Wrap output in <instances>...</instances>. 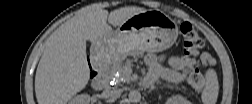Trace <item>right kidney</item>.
Instances as JSON below:
<instances>
[{"mask_svg": "<svg viewBox=\"0 0 252 104\" xmlns=\"http://www.w3.org/2000/svg\"><path fill=\"white\" fill-rule=\"evenodd\" d=\"M71 104H88L90 103V96L88 94H80L74 97L71 101Z\"/></svg>", "mask_w": 252, "mask_h": 104, "instance_id": "1", "label": "right kidney"}]
</instances>
